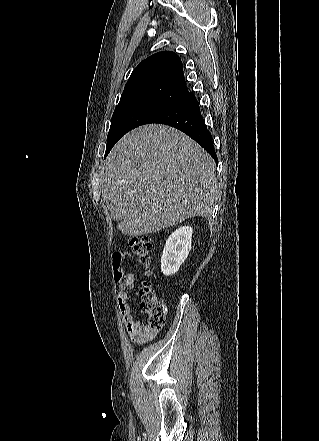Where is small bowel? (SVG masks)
I'll use <instances>...</instances> for the list:
<instances>
[{"label": "small bowel", "mask_w": 319, "mask_h": 441, "mask_svg": "<svg viewBox=\"0 0 319 441\" xmlns=\"http://www.w3.org/2000/svg\"><path fill=\"white\" fill-rule=\"evenodd\" d=\"M126 258V254L121 251L113 253V265H121ZM135 284V276L132 272H124L123 287L117 288V303L121 312L122 320L126 331L132 340L143 343L150 341L156 337L159 329L139 322L134 316L128 292L133 289Z\"/></svg>", "instance_id": "1"}]
</instances>
